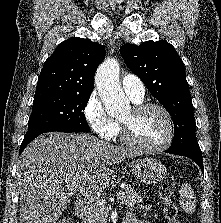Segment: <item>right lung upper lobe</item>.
<instances>
[{
	"label": "right lung upper lobe",
	"instance_id": "cb5924a9",
	"mask_svg": "<svg viewBox=\"0 0 221 223\" xmlns=\"http://www.w3.org/2000/svg\"><path fill=\"white\" fill-rule=\"evenodd\" d=\"M104 58L105 48L89 39L70 38L63 41L46 60L34 99L91 93L94 74Z\"/></svg>",
	"mask_w": 221,
	"mask_h": 223
}]
</instances>
